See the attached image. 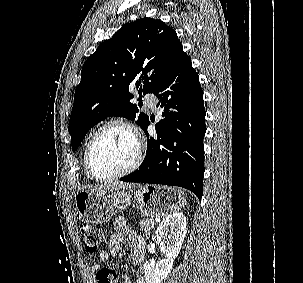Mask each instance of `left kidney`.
Wrapping results in <instances>:
<instances>
[{"mask_svg":"<svg viewBox=\"0 0 303 283\" xmlns=\"http://www.w3.org/2000/svg\"><path fill=\"white\" fill-rule=\"evenodd\" d=\"M186 218L182 213L167 216L156 229V239L166 259L144 264L146 283H161L171 272L186 235Z\"/></svg>","mask_w":303,"mask_h":283,"instance_id":"1","label":"left kidney"}]
</instances>
